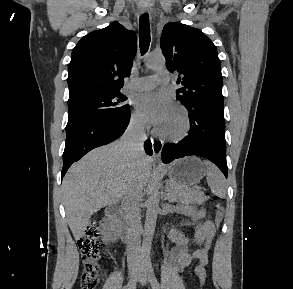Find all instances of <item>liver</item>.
<instances>
[{"instance_id": "1", "label": "liver", "mask_w": 293, "mask_h": 289, "mask_svg": "<svg viewBox=\"0 0 293 289\" xmlns=\"http://www.w3.org/2000/svg\"><path fill=\"white\" fill-rule=\"evenodd\" d=\"M151 158L127 151L122 140L90 151L68 170L62 183L63 202L75 240L85 235L91 216L118 202L130 182L147 184Z\"/></svg>"}]
</instances>
